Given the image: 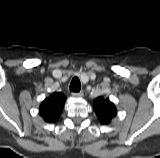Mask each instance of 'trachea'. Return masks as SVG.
Wrapping results in <instances>:
<instances>
[{
    "label": "trachea",
    "mask_w": 160,
    "mask_h": 158,
    "mask_svg": "<svg viewBox=\"0 0 160 158\" xmlns=\"http://www.w3.org/2000/svg\"><path fill=\"white\" fill-rule=\"evenodd\" d=\"M81 89V83L78 77H74L70 83V91L79 92Z\"/></svg>",
    "instance_id": "obj_1"
}]
</instances>
